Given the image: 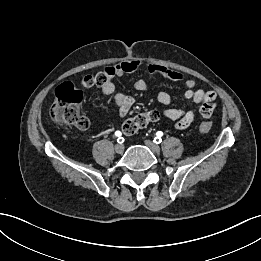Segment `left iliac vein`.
Returning <instances> with one entry per match:
<instances>
[{"mask_svg": "<svg viewBox=\"0 0 261 261\" xmlns=\"http://www.w3.org/2000/svg\"><path fill=\"white\" fill-rule=\"evenodd\" d=\"M145 145L154 153L160 152V147L150 140H145Z\"/></svg>", "mask_w": 261, "mask_h": 261, "instance_id": "obj_1", "label": "left iliac vein"}]
</instances>
